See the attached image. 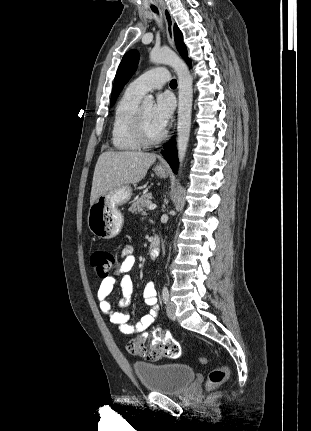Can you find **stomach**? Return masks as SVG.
Wrapping results in <instances>:
<instances>
[{"instance_id": "1", "label": "stomach", "mask_w": 311, "mask_h": 431, "mask_svg": "<svg viewBox=\"0 0 311 431\" xmlns=\"http://www.w3.org/2000/svg\"><path fill=\"white\" fill-rule=\"evenodd\" d=\"M154 172L158 178H168L163 166H155ZM132 196L133 190L129 184L116 186L110 192L101 194L89 208L87 223L90 231L99 239L116 237L124 225V216L119 208L128 204Z\"/></svg>"}]
</instances>
